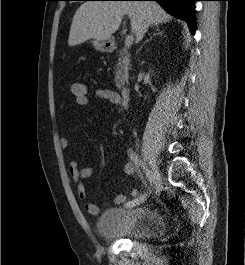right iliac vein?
I'll return each instance as SVG.
<instances>
[{"mask_svg":"<svg viewBox=\"0 0 245 265\" xmlns=\"http://www.w3.org/2000/svg\"><path fill=\"white\" fill-rule=\"evenodd\" d=\"M151 176H152V182L153 184H157L160 179V173L155 164L151 165Z\"/></svg>","mask_w":245,"mask_h":265,"instance_id":"63e3f726","label":"right iliac vein"}]
</instances>
